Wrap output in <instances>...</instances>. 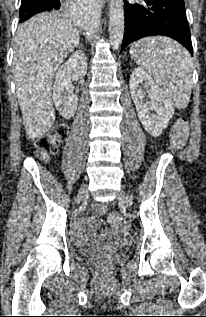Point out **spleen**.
Here are the masks:
<instances>
[{
  "label": "spleen",
  "mask_w": 206,
  "mask_h": 317,
  "mask_svg": "<svg viewBox=\"0 0 206 317\" xmlns=\"http://www.w3.org/2000/svg\"><path fill=\"white\" fill-rule=\"evenodd\" d=\"M130 55L155 79L174 107H187L192 89V59L184 47L166 37H147L133 43Z\"/></svg>",
  "instance_id": "1"
}]
</instances>
